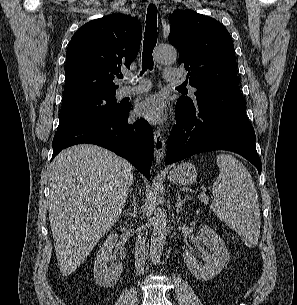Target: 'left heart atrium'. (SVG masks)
Wrapping results in <instances>:
<instances>
[{"instance_id":"left-heart-atrium-1","label":"left heart atrium","mask_w":297,"mask_h":305,"mask_svg":"<svg viewBox=\"0 0 297 305\" xmlns=\"http://www.w3.org/2000/svg\"><path fill=\"white\" fill-rule=\"evenodd\" d=\"M135 113L151 124H159L165 119L164 100L158 95L151 96L137 105Z\"/></svg>"}]
</instances>
